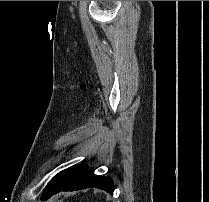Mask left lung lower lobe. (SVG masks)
Segmentation results:
<instances>
[{
  "instance_id": "1",
  "label": "left lung lower lobe",
  "mask_w": 209,
  "mask_h": 202,
  "mask_svg": "<svg viewBox=\"0 0 209 202\" xmlns=\"http://www.w3.org/2000/svg\"><path fill=\"white\" fill-rule=\"evenodd\" d=\"M99 188L113 194L114 184L111 178L97 176L93 168L85 165L69 167L55 175L45 187L41 200L65 190L73 191L86 188Z\"/></svg>"
}]
</instances>
